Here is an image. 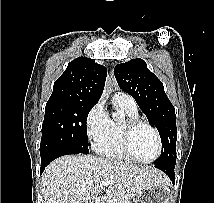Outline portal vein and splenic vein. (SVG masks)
Masks as SVG:
<instances>
[{
	"mask_svg": "<svg viewBox=\"0 0 214 203\" xmlns=\"http://www.w3.org/2000/svg\"><path fill=\"white\" fill-rule=\"evenodd\" d=\"M113 183V181H108V180H106V181H101L100 182V184H99V186L100 187H104V186H108V185H110V184H112ZM67 193V192H66ZM103 203V202H102Z\"/></svg>",
	"mask_w": 214,
	"mask_h": 203,
	"instance_id": "1",
	"label": "portal vein and splenic vein"
}]
</instances>
